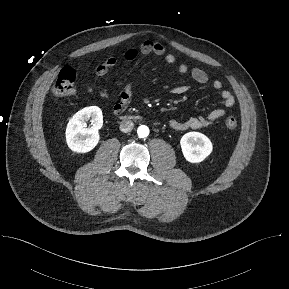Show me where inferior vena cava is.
<instances>
[{
    "instance_id": "obj_1",
    "label": "inferior vena cava",
    "mask_w": 289,
    "mask_h": 289,
    "mask_svg": "<svg viewBox=\"0 0 289 289\" xmlns=\"http://www.w3.org/2000/svg\"><path fill=\"white\" fill-rule=\"evenodd\" d=\"M134 128V123L131 120H123L120 123V130L123 133H128Z\"/></svg>"
}]
</instances>
